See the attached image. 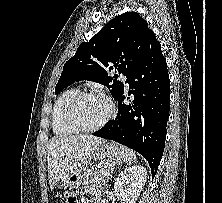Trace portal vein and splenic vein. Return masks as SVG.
Listing matches in <instances>:
<instances>
[{
	"mask_svg": "<svg viewBox=\"0 0 222 203\" xmlns=\"http://www.w3.org/2000/svg\"><path fill=\"white\" fill-rule=\"evenodd\" d=\"M114 165H115L114 163H111V165H110V166H111V167H114Z\"/></svg>",
	"mask_w": 222,
	"mask_h": 203,
	"instance_id": "1",
	"label": "portal vein and splenic vein"
}]
</instances>
